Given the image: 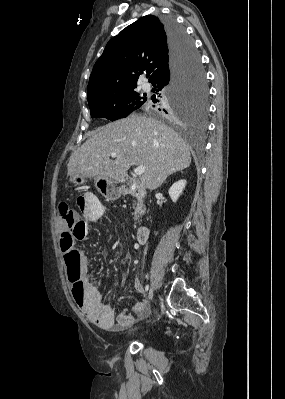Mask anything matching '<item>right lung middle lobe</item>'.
I'll list each match as a JSON object with an SVG mask.
<instances>
[{
  "label": "right lung middle lobe",
  "mask_w": 285,
  "mask_h": 399,
  "mask_svg": "<svg viewBox=\"0 0 285 399\" xmlns=\"http://www.w3.org/2000/svg\"><path fill=\"white\" fill-rule=\"evenodd\" d=\"M163 94L166 101L169 102L165 108L159 104L152 105L146 95L136 92L135 88L95 98L88 101V104L92 118H106L110 121L125 118L142 105L148 108L154 107L155 111L160 114H168L179 119L202 117L207 112L208 89L196 50L192 62L186 68L181 80L170 92L163 90Z\"/></svg>",
  "instance_id": "obj_1"
}]
</instances>
